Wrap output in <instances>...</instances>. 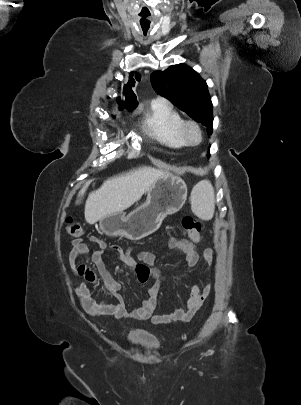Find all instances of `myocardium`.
Returning a JSON list of instances; mask_svg holds the SVG:
<instances>
[{"instance_id":"myocardium-1","label":"myocardium","mask_w":301,"mask_h":405,"mask_svg":"<svg viewBox=\"0 0 301 405\" xmlns=\"http://www.w3.org/2000/svg\"><path fill=\"white\" fill-rule=\"evenodd\" d=\"M191 131L197 134V139L191 137ZM181 134L188 145H198L203 138V133L200 125L193 120H185L181 125Z\"/></svg>"}]
</instances>
